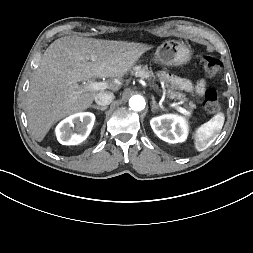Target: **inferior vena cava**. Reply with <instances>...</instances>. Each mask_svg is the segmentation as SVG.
I'll return each mask as SVG.
<instances>
[{
  "instance_id": "602c4592",
  "label": "inferior vena cava",
  "mask_w": 253,
  "mask_h": 253,
  "mask_svg": "<svg viewBox=\"0 0 253 253\" xmlns=\"http://www.w3.org/2000/svg\"><path fill=\"white\" fill-rule=\"evenodd\" d=\"M94 99L98 105L106 106L114 100V94L112 92H100L96 94Z\"/></svg>"
}]
</instances>
